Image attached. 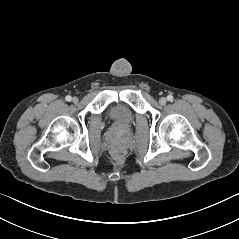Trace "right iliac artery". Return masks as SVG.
<instances>
[{"label": "right iliac artery", "mask_w": 239, "mask_h": 239, "mask_svg": "<svg viewBox=\"0 0 239 239\" xmlns=\"http://www.w3.org/2000/svg\"><path fill=\"white\" fill-rule=\"evenodd\" d=\"M65 99H66V101H68V102H70V101L72 100L71 96H69V95L66 96Z\"/></svg>", "instance_id": "1"}]
</instances>
